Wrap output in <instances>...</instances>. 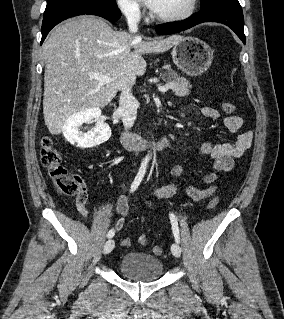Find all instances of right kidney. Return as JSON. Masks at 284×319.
Here are the masks:
<instances>
[{
	"label": "right kidney",
	"instance_id": "ca27d5eb",
	"mask_svg": "<svg viewBox=\"0 0 284 319\" xmlns=\"http://www.w3.org/2000/svg\"><path fill=\"white\" fill-rule=\"evenodd\" d=\"M99 108L83 109L71 115L63 126V135L79 148H91L106 142L111 137V128L103 121H98L93 130L83 133L79 130L83 123L99 118Z\"/></svg>",
	"mask_w": 284,
	"mask_h": 319
}]
</instances>
